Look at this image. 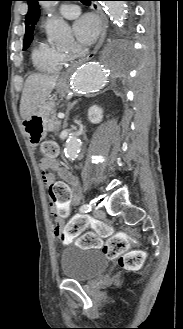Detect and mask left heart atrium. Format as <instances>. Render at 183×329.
I'll return each mask as SVG.
<instances>
[{
	"instance_id": "39dd6f15",
	"label": "left heart atrium",
	"mask_w": 183,
	"mask_h": 329,
	"mask_svg": "<svg viewBox=\"0 0 183 329\" xmlns=\"http://www.w3.org/2000/svg\"><path fill=\"white\" fill-rule=\"evenodd\" d=\"M73 31L79 44L90 45L98 37L100 24L94 15L85 14L74 23Z\"/></svg>"
}]
</instances>
